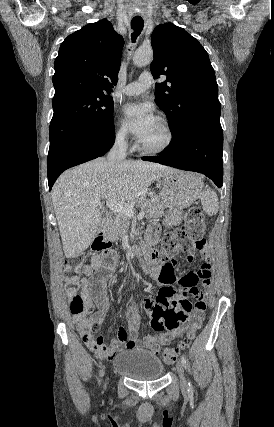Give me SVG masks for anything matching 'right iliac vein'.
Masks as SVG:
<instances>
[{
  "mask_svg": "<svg viewBox=\"0 0 274 427\" xmlns=\"http://www.w3.org/2000/svg\"><path fill=\"white\" fill-rule=\"evenodd\" d=\"M107 383H108V376L105 378L104 389L107 388Z\"/></svg>",
  "mask_w": 274,
  "mask_h": 427,
  "instance_id": "63e3f726",
  "label": "right iliac vein"
}]
</instances>
